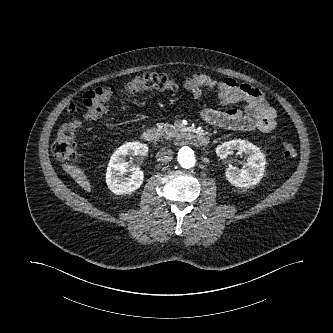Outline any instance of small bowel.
Segmentation results:
<instances>
[{"label":"small bowel","mask_w":333,"mask_h":333,"mask_svg":"<svg viewBox=\"0 0 333 333\" xmlns=\"http://www.w3.org/2000/svg\"><path fill=\"white\" fill-rule=\"evenodd\" d=\"M183 86L192 99L199 98L206 91L216 93L222 105H232L240 101L246 104L244 111L236 108L204 109L201 117L207 124L220 129L261 132H270L275 127L276 112L263 93L255 87L239 83L233 78L217 80L202 72H196L187 78ZM75 111L76 105L71 103L67 108L68 115H74Z\"/></svg>","instance_id":"1"}]
</instances>
